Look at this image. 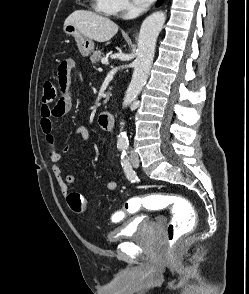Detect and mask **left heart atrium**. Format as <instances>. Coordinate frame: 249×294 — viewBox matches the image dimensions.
Returning <instances> with one entry per match:
<instances>
[{
  "mask_svg": "<svg viewBox=\"0 0 249 294\" xmlns=\"http://www.w3.org/2000/svg\"><path fill=\"white\" fill-rule=\"evenodd\" d=\"M153 0H135V2L139 3V4H148L150 2H152Z\"/></svg>",
  "mask_w": 249,
  "mask_h": 294,
  "instance_id": "obj_1",
  "label": "left heart atrium"
}]
</instances>
